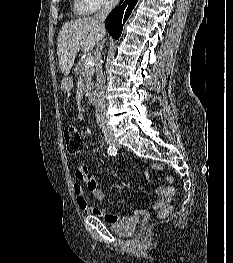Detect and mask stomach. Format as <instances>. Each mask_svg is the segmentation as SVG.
Instances as JSON below:
<instances>
[{
    "instance_id": "obj_1",
    "label": "stomach",
    "mask_w": 233,
    "mask_h": 263,
    "mask_svg": "<svg viewBox=\"0 0 233 263\" xmlns=\"http://www.w3.org/2000/svg\"><path fill=\"white\" fill-rule=\"evenodd\" d=\"M72 81L71 77H62L61 78V90L62 91H69L70 88H72V83H70Z\"/></svg>"
}]
</instances>
